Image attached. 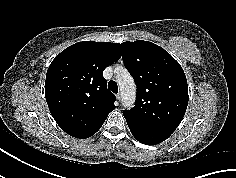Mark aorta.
I'll list each match as a JSON object with an SVG mask.
<instances>
[{"mask_svg": "<svg viewBox=\"0 0 236 178\" xmlns=\"http://www.w3.org/2000/svg\"><path fill=\"white\" fill-rule=\"evenodd\" d=\"M117 84L121 92L122 105L131 108L136 100V85L126 69L120 70L117 74Z\"/></svg>", "mask_w": 236, "mask_h": 178, "instance_id": "762f6f07", "label": "aorta"}]
</instances>
